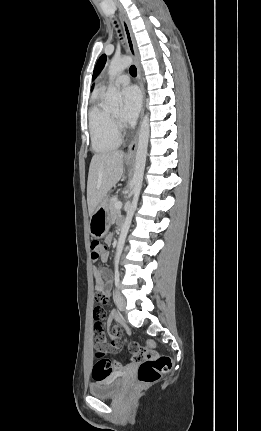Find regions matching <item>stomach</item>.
I'll return each mask as SVG.
<instances>
[{"instance_id": "stomach-1", "label": "stomach", "mask_w": 261, "mask_h": 431, "mask_svg": "<svg viewBox=\"0 0 261 431\" xmlns=\"http://www.w3.org/2000/svg\"><path fill=\"white\" fill-rule=\"evenodd\" d=\"M130 163V159H126ZM111 225V217L109 213V197L106 195L99 203L94 213L90 217L89 231L94 238H103Z\"/></svg>"}]
</instances>
